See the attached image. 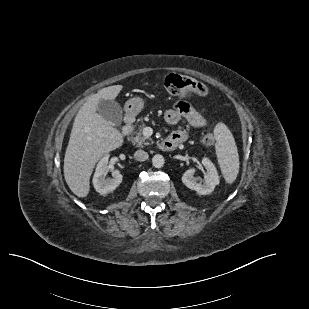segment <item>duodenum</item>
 <instances>
[{"mask_svg": "<svg viewBox=\"0 0 309 309\" xmlns=\"http://www.w3.org/2000/svg\"><path fill=\"white\" fill-rule=\"evenodd\" d=\"M132 125H133V117L131 115H126L121 130L123 136H127L130 134L132 130ZM179 143H180L179 139L169 137L160 142L159 148L163 151H171L175 149Z\"/></svg>", "mask_w": 309, "mask_h": 309, "instance_id": "duodenum-1", "label": "duodenum"}]
</instances>
